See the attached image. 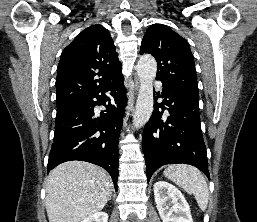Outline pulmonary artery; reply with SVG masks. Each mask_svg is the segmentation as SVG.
Listing matches in <instances>:
<instances>
[{
    "label": "pulmonary artery",
    "instance_id": "e3ab8cb5",
    "mask_svg": "<svg viewBox=\"0 0 257 222\" xmlns=\"http://www.w3.org/2000/svg\"><path fill=\"white\" fill-rule=\"evenodd\" d=\"M155 84H156L157 86H160V83H159V82H156Z\"/></svg>",
    "mask_w": 257,
    "mask_h": 222
}]
</instances>
